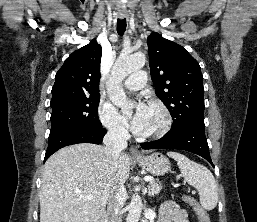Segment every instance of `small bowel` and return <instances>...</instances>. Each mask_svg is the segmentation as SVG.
I'll list each match as a JSON object with an SVG mask.
<instances>
[{"instance_id":"1","label":"small bowel","mask_w":257,"mask_h":222,"mask_svg":"<svg viewBox=\"0 0 257 222\" xmlns=\"http://www.w3.org/2000/svg\"><path fill=\"white\" fill-rule=\"evenodd\" d=\"M159 222H189L185 210L174 202L168 201L162 205Z\"/></svg>"}]
</instances>
